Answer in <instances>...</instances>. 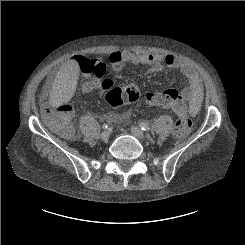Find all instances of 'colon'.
I'll return each mask as SVG.
<instances>
[{
	"instance_id": "colon-1",
	"label": "colon",
	"mask_w": 245,
	"mask_h": 245,
	"mask_svg": "<svg viewBox=\"0 0 245 245\" xmlns=\"http://www.w3.org/2000/svg\"><path fill=\"white\" fill-rule=\"evenodd\" d=\"M75 62L82 74L94 76L95 79H101L106 70L105 64L96 59L77 56ZM104 91L105 100L112 108H118L125 103L135 101L139 95L138 86L135 83H130L122 88L106 85ZM146 102L151 106L170 109L176 114L177 120L174 127L176 137L184 138L190 133L192 121L188 115V107L177 90L167 89L150 92L146 95ZM70 110L69 101H63L56 105L51 102L46 104L47 122L51 130L63 138H69L73 134L69 121Z\"/></svg>"
}]
</instances>
